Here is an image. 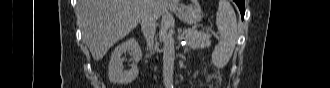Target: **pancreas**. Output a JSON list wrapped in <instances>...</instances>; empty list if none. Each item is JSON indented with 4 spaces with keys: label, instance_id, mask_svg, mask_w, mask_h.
<instances>
[{
    "label": "pancreas",
    "instance_id": "cf45deb5",
    "mask_svg": "<svg viewBox=\"0 0 330 88\" xmlns=\"http://www.w3.org/2000/svg\"><path fill=\"white\" fill-rule=\"evenodd\" d=\"M183 33L187 47L193 50L205 49L211 46V36L208 33L193 29H184Z\"/></svg>",
    "mask_w": 330,
    "mask_h": 88
}]
</instances>
